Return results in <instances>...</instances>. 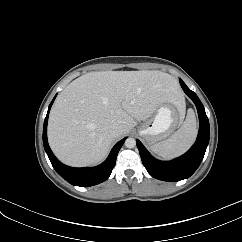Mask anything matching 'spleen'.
Wrapping results in <instances>:
<instances>
[{
  "mask_svg": "<svg viewBox=\"0 0 242 242\" xmlns=\"http://www.w3.org/2000/svg\"><path fill=\"white\" fill-rule=\"evenodd\" d=\"M197 136V123L194 113L187 114L181 127L168 139L151 146V150L163 158H174L186 152Z\"/></svg>",
  "mask_w": 242,
  "mask_h": 242,
  "instance_id": "obj_1",
  "label": "spleen"
}]
</instances>
